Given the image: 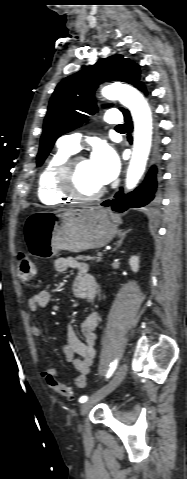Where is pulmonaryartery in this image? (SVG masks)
Masks as SVG:
<instances>
[{"instance_id":"e3ab8cb5","label":"pulmonary artery","mask_w":187,"mask_h":479,"mask_svg":"<svg viewBox=\"0 0 187 479\" xmlns=\"http://www.w3.org/2000/svg\"><path fill=\"white\" fill-rule=\"evenodd\" d=\"M103 121L107 124L118 126L122 121V117L118 110L110 109L104 115ZM80 138V133L64 135L59 138L58 144L76 152L79 149Z\"/></svg>"}]
</instances>
